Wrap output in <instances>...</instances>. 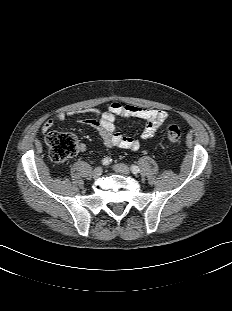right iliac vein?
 Returning a JSON list of instances; mask_svg holds the SVG:
<instances>
[{
	"instance_id": "obj_1",
	"label": "right iliac vein",
	"mask_w": 232,
	"mask_h": 311,
	"mask_svg": "<svg viewBox=\"0 0 232 311\" xmlns=\"http://www.w3.org/2000/svg\"><path fill=\"white\" fill-rule=\"evenodd\" d=\"M102 173H103V169L101 167H97L93 171V177L97 179L102 175Z\"/></svg>"
}]
</instances>
